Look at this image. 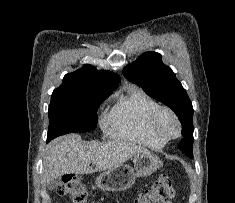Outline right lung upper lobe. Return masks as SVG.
<instances>
[{
	"label": "right lung upper lobe",
	"instance_id": "right-lung-upper-lobe-1",
	"mask_svg": "<svg viewBox=\"0 0 235 203\" xmlns=\"http://www.w3.org/2000/svg\"><path fill=\"white\" fill-rule=\"evenodd\" d=\"M120 82V77L109 71L97 70L91 65L64 76L60 87L55 90H92L111 93Z\"/></svg>",
	"mask_w": 235,
	"mask_h": 203
}]
</instances>
